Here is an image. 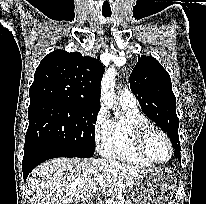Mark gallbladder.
I'll return each instance as SVG.
<instances>
[{"label": "gallbladder", "mask_w": 206, "mask_h": 204, "mask_svg": "<svg viewBox=\"0 0 206 204\" xmlns=\"http://www.w3.org/2000/svg\"><path fill=\"white\" fill-rule=\"evenodd\" d=\"M68 204H77V203H73V200L69 201Z\"/></svg>", "instance_id": "gallbladder-1"}]
</instances>
